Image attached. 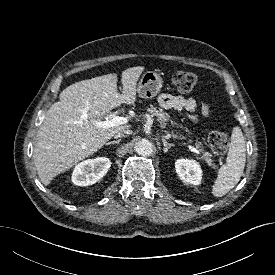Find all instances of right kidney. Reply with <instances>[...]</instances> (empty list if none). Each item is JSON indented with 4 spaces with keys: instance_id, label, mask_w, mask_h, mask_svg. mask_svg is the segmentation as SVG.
<instances>
[{
    "instance_id": "right-kidney-1",
    "label": "right kidney",
    "mask_w": 275,
    "mask_h": 275,
    "mask_svg": "<svg viewBox=\"0 0 275 275\" xmlns=\"http://www.w3.org/2000/svg\"><path fill=\"white\" fill-rule=\"evenodd\" d=\"M111 167L106 157L85 160L74 168L72 182L78 186H88L99 181Z\"/></svg>"
}]
</instances>
